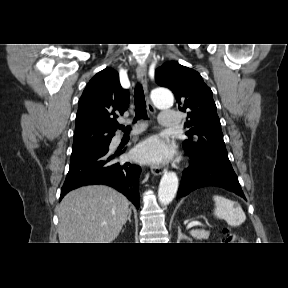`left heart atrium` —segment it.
Here are the masks:
<instances>
[{"label":"left heart atrium","instance_id":"1","mask_svg":"<svg viewBox=\"0 0 288 288\" xmlns=\"http://www.w3.org/2000/svg\"><path fill=\"white\" fill-rule=\"evenodd\" d=\"M170 154L168 145L158 136L146 138L134 150L135 158L143 162H162L168 159Z\"/></svg>","mask_w":288,"mask_h":288}]
</instances>
